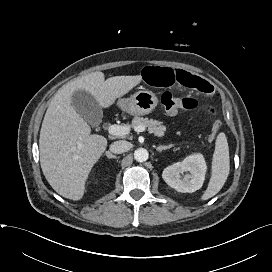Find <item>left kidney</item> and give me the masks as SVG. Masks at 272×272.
<instances>
[{"label":"left kidney","mask_w":272,"mask_h":272,"mask_svg":"<svg viewBox=\"0 0 272 272\" xmlns=\"http://www.w3.org/2000/svg\"><path fill=\"white\" fill-rule=\"evenodd\" d=\"M207 165L202 154L196 153L187 156L182 162L166 167L162 173L164 181L179 192L192 193L203 185ZM185 174L181 178V174Z\"/></svg>","instance_id":"left-kidney-1"}]
</instances>
